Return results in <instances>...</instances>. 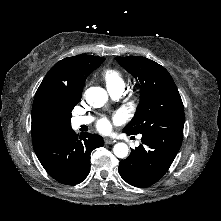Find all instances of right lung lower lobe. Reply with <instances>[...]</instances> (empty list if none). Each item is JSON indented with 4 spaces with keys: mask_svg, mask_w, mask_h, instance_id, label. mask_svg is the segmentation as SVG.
I'll return each instance as SVG.
<instances>
[{
    "mask_svg": "<svg viewBox=\"0 0 221 221\" xmlns=\"http://www.w3.org/2000/svg\"><path fill=\"white\" fill-rule=\"evenodd\" d=\"M103 145L100 135L84 133L80 136L70 128L52 140L35 146L34 151L52 178L66 185H75L90 172L92 150Z\"/></svg>",
    "mask_w": 221,
    "mask_h": 221,
    "instance_id": "obj_1",
    "label": "right lung lower lobe"
}]
</instances>
